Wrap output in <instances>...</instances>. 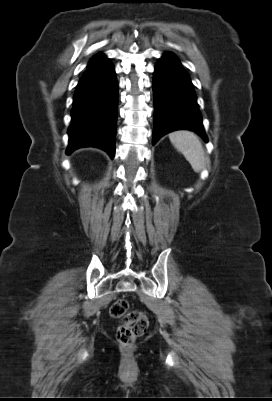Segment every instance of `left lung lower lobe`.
Listing matches in <instances>:
<instances>
[{
    "instance_id": "obj_1",
    "label": "left lung lower lobe",
    "mask_w": 272,
    "mask_h": 401,
    "mask_svg": "<svg viewBox=\"0 0 272 401\" xmlns=\"http://www.w3.org/2000/svg\"><path fill=\"white\" fill-rule=\"evenodd\" d=\"M154 130L153 145L175 130H191L207 142L195 92L186 71L171 52L156 64L153 79Z\"/></svg>"
}]
</instances>
